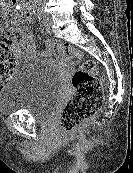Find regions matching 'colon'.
Masks as SVG:
<instances>
[{
  "instance_id": "colon-1",
  "label": "colon",
  "mask_w": 133,
  "mask_h": 173,
  "mask_svg": "<svg viewBox=\"0 0 133 173\" xmlns=\"http://www.w3.org/2000/svg\"><path fill=\"white\" fill-rule=\"evenodd\" d=\"M2 21L3 31L7 40L21 32L12 15ZM47 54L56 53L68 58L75 67L71 76L73 93L65 104L60 117L61 129L70 133L93 117L102 104V85L96 63L68 44L48 41L44 45ZM14 55L5 42H0V86L10 75L14 65Z\"/></svg>"
}]
</instances>
